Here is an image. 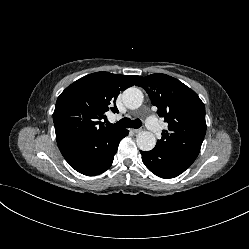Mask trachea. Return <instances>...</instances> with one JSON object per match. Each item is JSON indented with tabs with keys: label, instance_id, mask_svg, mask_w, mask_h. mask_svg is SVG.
Wrapping results in <instances>:
<instances>
[{
	"label": "trachea",
	"instance_id": "1",
	"mask_svg": "<svg viewBox=\"0 0 249 249\" xmlns=\"http://www.w3.org/2000/svg\"><path fill=\"white\" fill-rule=\"evenodd\" d=\"M109 125H112L109 123ZM142 125V122L140 119H135V120H131L129 118H123L121 119L119 122L115 123L113 126H118V127H122V128H135L138 129L140 128Z\"/></svg>",
	"mask_w": 249,
	"mask_h": 249
}]
</instances>
